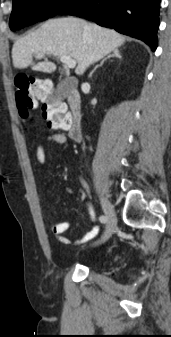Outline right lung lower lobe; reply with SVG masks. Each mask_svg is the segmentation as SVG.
I'll list each match as a JSON object with an SVG mask.
<instances>
[{
	"label": "right lung lower lobe",
	"instance_id": "1",
	"mask_svg": "<svg viewBox=\"0 0 171 337\" xmlns=\"http://www.w3.org/2000/svg\"><path fill=\"white\" fill-rule=\"evenodd\" d=\"M161 0H76L57 14L84 17L157 47Z\"/></svg>",
	"mask_w": 171,
	"mask_h": 337
}]
</instances>
